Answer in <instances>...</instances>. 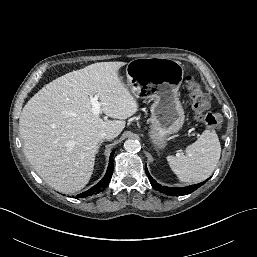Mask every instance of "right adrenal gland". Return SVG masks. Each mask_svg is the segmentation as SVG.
I'll use <instances>...</instances> for the list:
<instances>
[{"mask_svg":"<svg viewBox=\"0 0 257 257\" xmlns=\"http://www.w3.org/2000/svg\"><path fill=\"white\" fill-rule=\"evenodd\" d=\"M101 143H102V141L98 144V150H99V148H100V146H101ZM98 150H97V152H98Z\"/></svg>","mask_w":257,"mask_h":257,"instance_id":"right-adrenal-gland-1","label":"right adrenal gland"}]
</instances>
